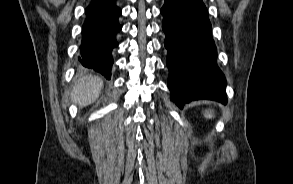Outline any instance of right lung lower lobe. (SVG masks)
Listing matches in <instances>:
<instances>
[{
  "label": "right lung lower lobe",
  "mask_w": 293,
  "mask_h": 184,
  "mask_svg": "<svg viewBox=\"0 0 293 184\" xmlns=\"http://www.w3.org/2000/svg\"><path fill=\"white\" fill-rule=\"evenodd\" d=\"M85 14L80 61L110 79L113 64L111 51L118 45L115 37L122 28L118 22L121 9L116 6V0L92 2Z\"/></svg>",
  "instance_id": "98d812e1"
}]
</instances>
